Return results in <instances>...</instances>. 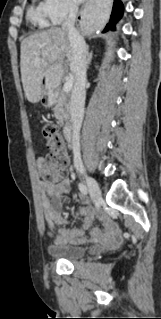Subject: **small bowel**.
<instances>
[{
	"mask_svg": "<svg viewBox=\"0 0 161 319\" xmlns=\"http://www.w3.org/2000/svg\"><path fill=\"white\" fill-rule=\"evenodd\" d=\"M44 164V158L38 159V165ZM41 188L42 194V205L44 216L47 224L53 227L57 224H66L60 214V209L63 202L67 201L66 195L71 192V185L67 179H63L58 183L42 182ZM82 201L86 202V199L82 197ZM79 214L85 216V221L80 229L66 230L61 228L57 236H53L57 241L62 243L81 244L87 241L85 237V231L89 229L96 218L102 220L103 227L92 228L90 230L89 239L97 240L100 238L116 240L118 234L117 224L111 220L104 218L103 210H91L87 207H82L78 211Z\"/></svg>",
	"mask_w": 161,
	"mask_h": 319,
	"instance_id": "obj_1",
	"label": "small bowel"
}]
</instances>
